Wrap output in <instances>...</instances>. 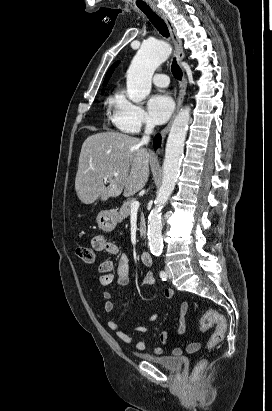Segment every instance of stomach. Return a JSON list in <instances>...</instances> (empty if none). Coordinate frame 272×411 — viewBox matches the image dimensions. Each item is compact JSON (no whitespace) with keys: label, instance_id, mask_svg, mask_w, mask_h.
Listing matches in <instances>:
<instances>
[{"label":"stomach","instance_id":"obj_1","mask_svg":"<svg viewBox=\"0 0 272 411\" xmlns=\"http://www.w3.org/2000/svg\"><path fill=\"white\" fill-rule=\"evenodd\" d=\"M96 221L101 230L111 232L115 229L119 217L114 210H103L97 215Z\"/></svg>","mask_w":272,"mask_h":411}]
</instances>
